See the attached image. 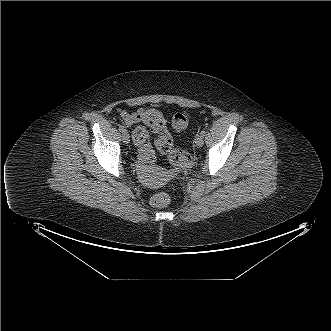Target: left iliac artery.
<instances>
[{
    "instance_id": "44dca946",
    "label": "left iliac artery",
    "mask_w": 331,
    "mask_h": 331,
    "mask_svg": "<svg viewBox=\"0 0 331 331\" xmlns=\"http://www.w3.org/2000/svg\"><path fill=\"white\" fill-rule=\"evenodd\" d=\"M200 134H201V135L204 137V136H205V134H206L205 130H204V129H203V130H201Z\"/></svg>"
}]
</instances>
